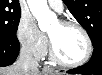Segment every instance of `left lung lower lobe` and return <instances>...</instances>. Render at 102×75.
I'll return each mask as SVG.
<instances>
[{"label": "left lung lower lobe", "instance_id": "0a47b994", "mask_svg": "<svg viewBox=\"0 0 102 75\" xmlns=\"http://www.w3.org/2000/svg\"><path fill=\"white\" fill-rule=\"evenodd\" d=\"M102 43L94 45L93 55L90 61L80 67L68 70L67 73L73 74H102Z\"/></svg>", "mask_w": 102, "mask_h": 75}]
</instances>
